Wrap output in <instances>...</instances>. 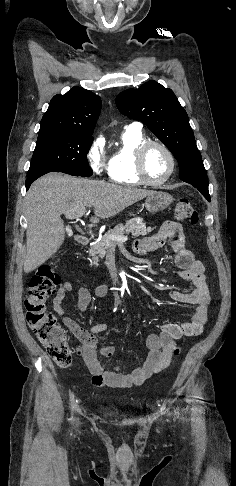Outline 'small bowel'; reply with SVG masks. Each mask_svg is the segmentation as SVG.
I'll return each mask as SVG.
<instances>
[{
  "mask_svg": "<svg viewBox=\"0 0 236 486\" xmlns=\"http://www.w3.org/2000/svg\"><path fill=\"white\" fill-rule=\"evenodd\" d=\"M170 242L176 252L175 262L178 274L192 284L190 292L173 291L170 296L178 303L194 305L191 318L182 323H166L161 325L159 333L150 334L146 339L148 355L143 363L130 373H124L113 365L106 368L101 362L97 347L100 333L109 330L107 322H95L89 329L80 326L76 321L66 315L63 301L71 292L72 285L64 282L60 285L53 299L54 312L61 318L63 324L79 340L77 353L83 358L92 377L93 385L97 387L130 388L140 386L153 374L169 366L175 349L176 340L184 336H198L202 333L207 321L208 305L210 301L209 290L204 277V266L196 260L193 254L185 248L182 226L174 221H165L159 230L149 237L134 242L133 250L137 254H146L163 247ZM109 292L108 285H100L94 290V295L103 297ZM92 300V292L87 287L78 291L77 307L85 312ZM115 352L114 346L101 349L103 358L111 357Z\"/></svg>",
  "mask_w": 236,
  "mask_h": 486,
  "instance_id": "obj_1",
  "label": "small bowel"
}]
</instances>
